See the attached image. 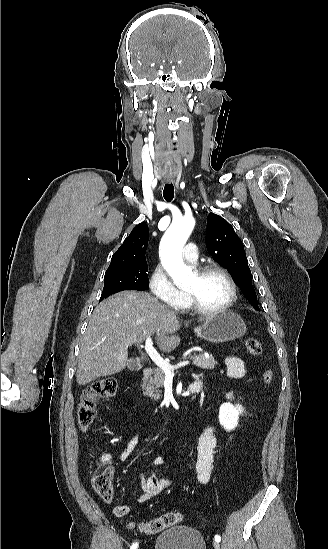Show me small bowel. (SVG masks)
I'll return each instance as SVG.
<instances>
[{
	"label": "small bowel",
	"mask_w": 328,
	"mask_h": 549,
	"mask_svg": "<svg viewBox=\"0 0 328 549\" xmlns=\"http://www.w3.org/2000/svg\"><path fill=\"white\" fill-rule=\"evenodd\" d=\"M224 364L230 377L240 379L245 376L246 368L244 362L241 359L230 356L225 359ZM137 443L138 435L134 434L128 442L127 447L118 455L119 460H128L132 452L134 451ZM215 446V429L213 426H209L200 434L195 444L186 453V458L190 457L193 453L197 454L195 474L197 480L201 484H206L210 480L213 470V456ZM112 460L113 456L108 453L103 454L100 458V461L106 465H110L112 463ZM165 461V457L157 456L153 458L151 464L153 466H160L164 464ZM185 468L188 471L192 470L190 464L187 461L185 462ZM140 487L142 493L138 497L137 501L139 503H144L151 498L157 496L158 494L170 489L172 487V482L161 477L156 470H152L148 475H141ZM130 510V505H124L116 508L115 514L124 515Z\"/></svg>",
	"instance_id": "obj_1"
}]
</instances>
